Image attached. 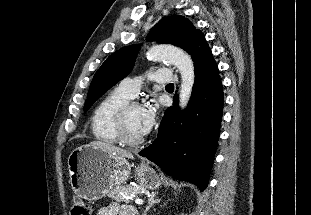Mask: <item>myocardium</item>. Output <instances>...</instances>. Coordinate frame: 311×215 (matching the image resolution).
Here are the masks:
<instances>
[{"mask_svg": "<svg viewBox=\"0 0 311 215\" xmlns=\"http://www.w3.org/2000/svg\"><path fill=\"white\" fill-rule=\"evenodd\" d=\"M134 107H141V104L137 101H129L122 105L115 117L116 130L121 143L129 145V146H137L144 142V137L142 138H133L130 136L127 124H126V116L130 109Z\"/></svg>", "mask_w": 311, "mask_h": 215, "instance_id": "1", "label": "myocardium"}]
</instances>
